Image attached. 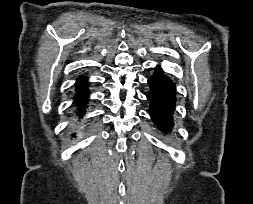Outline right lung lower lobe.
Masks as SVG:
<instances>
[{"label":"right lung lower lobe","instance_id":"98d812e1","mask_svg":"<svg viewBox=\"0 0 253 204\" xmlns=\"http://www.w3.org/2000/svg\"><path fill=\"white\" fill-rule=\"evenodd\" d=\"M86 77L80 76L76 81V94L74 97V103L77 106V111L82 116L85 113V108L89 98V83L86 81Z\"/></svg>","mask_w":253,"mask_h":204}]
</instances>
